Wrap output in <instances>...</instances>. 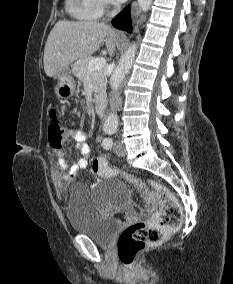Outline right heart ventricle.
<instances>
[{
	"mask_svg": "<svg viewBox=\"0 0 233 284\" xmlns=\"http://www.w3.org/2000/svg\"><path fill=\"white\" fill-rule=\"evenodd\" d=\"M66 8L71 16L81 21H95L103 14L101 0H67Z\"/></svg>",
	"mask_w": 233,
	"mask_h": 284,
	"instance_id": "e07e8e85",
	"label": "right heart ventricle"
}]
</instances>
